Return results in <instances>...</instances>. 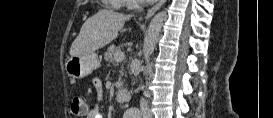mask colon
Listing matches in <instances>:
<instances>
[{"label": "colon", "instance_id": "colon-1", "mask_svg": "<svg viewBox=\"0 0 273 118\" xmlns=\"http://www.w3.org/2000/svg\"><path fill=\"white\" fill-rule=\"evenodd\" d=\"M71 113L74 116L82 117L87 113V106L84 100L79 97L75 96L71 101Z\"/></svg>", "mask_w": 273, "mask_h": 118}]
</instances>
